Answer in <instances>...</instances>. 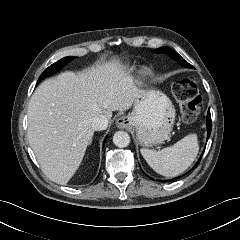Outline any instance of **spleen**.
Here are the masks:
<instances>
[{
	"label": "spleen",
	"mask_w": 240,
	"mask_h": 240,
	"mask_svg": "<svg viewBox=\"0 0 240 240\" xmlns=\"http://www.w3.org/2000/svg\"><path fill=\"white\" fill-rule=\"evenodd\" d=\"M140 151L155 172L166 177H175L193 163L199 151V144L197 135L189 134L173 146L161 151L147 148H142Z\"/></svg>",
	"instance_id": "obj_1"
}]
</instances>
